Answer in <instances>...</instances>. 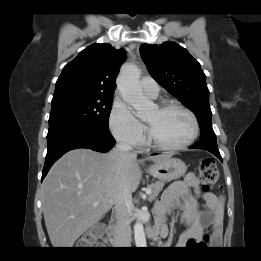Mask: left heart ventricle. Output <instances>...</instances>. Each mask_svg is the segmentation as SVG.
Returning <instances> with one entry per match:
<instances>
[{"label": "left heart ventricle", "instance_id": "b2bd125f", "mask_svg": "<svg viewBox=\"0 0 261 261\" xmlns=\"http://www.w3.org/2000/svg\"><path fill=\"white\" fill-rule=\"evenodd\" d=\"M144 121L154 138L163 144L182 143L192 132L191 119L179 109L159 111L154 107L144 116Z\"/></svg>", "mask_w": 261, "mask_h": 261}]
</instances>
